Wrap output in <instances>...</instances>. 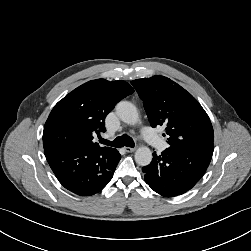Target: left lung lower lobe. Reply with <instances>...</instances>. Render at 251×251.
Instances as JSON below:
<instances>
[{"label": "left lung lower lobe", "mask_w": 251, "mask_h": 251, "mask_svg": "<svg viewBox=\"0 0 251 251\" xmlns=\"http://www.w3.org/2000/svg\"><path fill=\"white\" fill-rule=\"evenodd\" d=\"M212 156L164 150L153 153L151 163L142 168L145 182L165 197L181 195L190 190L204 175Z\"/></svg>", "instance_id": "obj_1"}]
</instances>
